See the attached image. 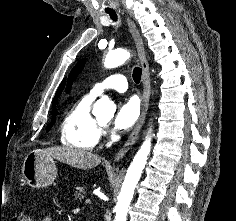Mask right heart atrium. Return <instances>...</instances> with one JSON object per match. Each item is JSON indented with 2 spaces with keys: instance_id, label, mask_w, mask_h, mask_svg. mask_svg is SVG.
Listing matches in <instances>:
<instances>
[{
  "instance_id": "1",
  "label": "right heart atrium",
  "mask_w": 236,
  "mask_h": 221,
  "mask_svg": "<svg viewBox=\"0 0 236 221\" xmlns=\"http://www.w3.org/2000/svg\"><path fill=\"white\" fill-rule=\"evenodd\" d=\"M106 134V132L104 130H100V135L104 136Z\"/></svg>"
}]
</instances>
